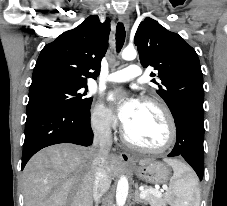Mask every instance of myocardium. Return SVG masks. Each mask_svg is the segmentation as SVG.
<instances>
[{"label":"myocardium","instance_id":"1","mask_svg":"<svg viewBox=\"0 0 227 206\" xmlns=\"http://www.w3.org/2000/svg\"><path fill=\"white\" fill-rule=\"evenodd\" d=\"M141 103L151 104L160 109L167 123V128H168L167 139L165 143L159 147H146V146L139 145L138 143L133 141L131 137L128 135L127 131L124 129L123 131L124 140L131 147L138 149L140 151L147 152V153H163L168 149H170L176 141L177 127H176L174 116L171 110L169 109V107L167 106V104L156 97L144 96L141 98Z\"/></svg>","mask_w":227,"mask_h":206}]
</instances>
